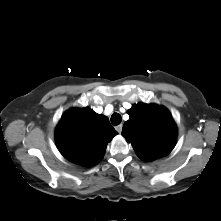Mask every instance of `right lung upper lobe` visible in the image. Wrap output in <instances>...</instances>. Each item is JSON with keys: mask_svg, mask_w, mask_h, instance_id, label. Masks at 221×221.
<instances>
[{"mask_svg": "<svg viewBox=\"0 0 221 221\" xmlns=\"http://www.w3.org/2000/svg\"><path fill=\"white\" fill-rule=\"evenodd\" d=\"M117 134L106 116L88 107L73 108L61 117L55 139L66 159L90 167L102 160L107 143Z\"/></svg>", "mask_w": 221, "mask_h": 221, "instance_id": "right-lung-upper-lobe-1", "label": "right lung upper lobe"}]
</instances>
